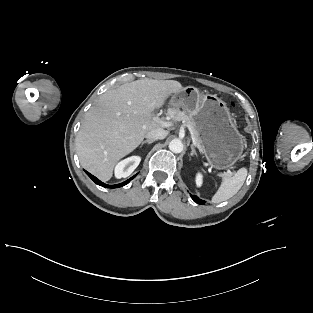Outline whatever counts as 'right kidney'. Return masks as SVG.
Listing matches in <instances>:
<instances>
[{"label":"right kidney","mask_w":313,"mask_h":313,"mask_svg":"<svg viewBox=\"0 0 313 313\" xmlns=\"http://www.w3.org/2000/svg\"><path fill=\"white\" fill-rule=\"evenodd\" d=\"M141 161L139 156H131L122 161H120L115 166V177L116 178H126L132 174V172L137 168Z\"/></svg>","instance_id":"ca27d5eb"}]
</instances>
